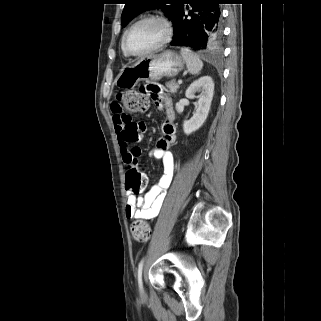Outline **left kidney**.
Wrapping results in <instances>:
<instances>
[{
	"label": "left kidney",
	"instance_id": "5707ae66",
	"mask_svg": "<svg viewBox=\"0 0 321 321\" xmlns=\"http://www.w3.org/2000/svg\"><path fill=\"white\" fill-rule=\"evenodd\" d=\"M196 92H200L196 112L190 120L184 121L183 123V131L186 135H190L198 130L208 117L214 93V83L212 78L210 76H203L194 81L186 90L185 95L189 99H194Z\"/></svg>",
	"mask_w": 321,
	"mask_h": 321
}]
</instances>
